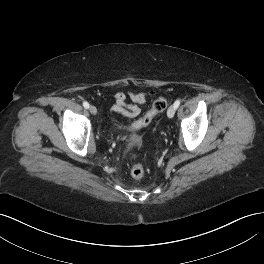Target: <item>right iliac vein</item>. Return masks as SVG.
I'll list each match as a JSON object with an SVG mask.
<instances>
[{
    "label": "right iliac vein",
    "mask_w": 264,
    "mask_h": 264,
    "mask_svg": "<svg viewBox=\"0 0 264 264\" xmlns=\"http://www.w3.org/2000/svg\"><path fill=\"white\" fill-rule=\"evenodd\" d=\"M89 111L91 114L96 115L97 114V108L93 105L89 107Z\"/></svg>",
    "instance_id": "63e3f726"
}]
</instances>
